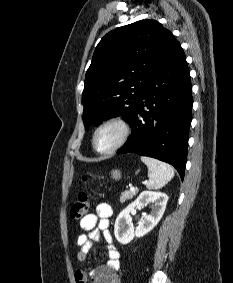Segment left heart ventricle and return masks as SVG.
Here are the masks:
<instances>
[{
	"mask_svg": "<svg viewBox=\"0 0 233 283\" xmlns=\"http://www.w3.org/2000/svg\"><path fill=\"white\" fill-rule=\"evenodd\" d=\"M119 138V130L114 126L103 128L97 135L96 145L100 150L110 148Z\"/></svg>",
	"mask_w": 233,
	"mask_h": 283,
	"instance_id": "1",
	"label": "left heart ventricle"
}]
</instances>
